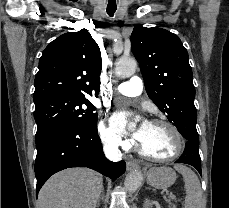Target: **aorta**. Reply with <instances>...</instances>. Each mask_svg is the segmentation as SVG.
Instances as JSON below:
<instances>
[{
  "label": "aorta",
  "instance_id": "obj_1",
  "mask_svg": "<svg viewBox=\"0 0 229 208\" xmlns=\"http://www.w3.org/2000/svg\"><path fill=\"white\" fill-rule=\"evenodd\" d=\"M137 68V62L131 58L120 59L115 67V74L120 78L132 76ZM143 176L139 171L130 172L124 181V187L127 191L135 192L142 184Z\"/></svg>",
  "mask_w": 229,
  "mask_h": 208
}]
</instances>
